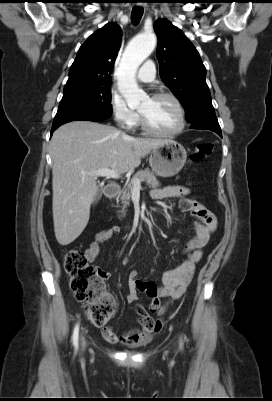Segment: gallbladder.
Returning a JSON list of instances; mask_svg holds the SVG:
<instances>
[{
	"label": "gallbladder",
	"mask_w": 272,
	"mask_h": 401,
	"mask_svg": "<svg viewBox=\"0 0 272 401\" xmlns=\"http://www.w3.org/2000/svg\"><path fill=\"white\" fill-rule=\"evenodd\" d=\"M101 196H102L101 187H99L98 192L94 198V203H97L100 200Z\"/></svg>",
	"instance_id": "obj_1"
}]
</instances>
